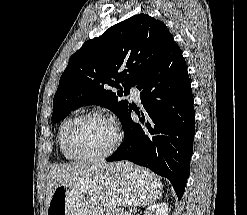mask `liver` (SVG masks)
I'll return each instance as SVG.
<instances>
[{"instance_id":"liver-1","label":"liver","mask_w":247,"mask_h":215,"mask_svg":"<svg viewBox=\"0 0 247 215\" xmlns=\"http://www.w3.org/2000/svg\"><path fill=\"white\" fill-rule=\"evenodd\" d=\"M111 165L106 162H91L53 166L47 176L46 206L59 185L65 183L71 187L83 188Z\"/></svg>"}]
</instances>
